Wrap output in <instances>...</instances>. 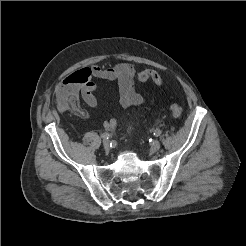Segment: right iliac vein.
Returning a JSON list of instances; mask_svg holds the SVG:
<instances>
[{
	"label": "right iliac vein",
	"instance_id": "1",
	"mask_svg": "<svg viewBox=\"0 0 246 246\" xmlns=\"http://www.w3.org/2000/svg\"><path fill=\"white\" fill-rule=\"evenodd\" d=\"M103 147H104L105 150H109V148H110V141L104 139L103 140Z\"/></svg>",
	"mask_w": 246,
	"mask_h": 246
}]
</instances>
